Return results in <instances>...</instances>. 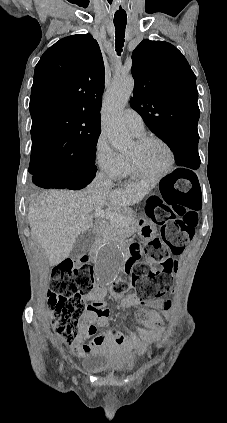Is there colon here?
I'll use <instances>...</instances> for the list:
<instances>
[{
  "label": "colon",
  "mask_w": 227,
  "mask_h": 423,
  "mask_svg": "<svg viewBox=\"0 0 227 423\" xmlns=\"http://www.w3.org/2000/svg\"><path fill=\"white\" fill-rule=\"evenodd\" d=\"M201 208V190L193 174L178 171L164 178L159 193L147 206L148 216L161 227L163 243L156 239L144 249L132 243L124 263L126 278L118 279L112 292L121 295L132 286L140 300L147 302L171 290L178 263L163 244L172 255L181 254L193 237ZM150 233V227L144 225L142 234L147 237ZM143 253L149 258L148 263L141 261ZM93 286V268L85 256L65 259L53 269L48 303L53 311L54 329L68 343L77 336L86 309L83 298ZM139 317L147 320L148 314L142 312Z\"/></svg>",
  "instance_id": "colon-1"
}]
</instances>
